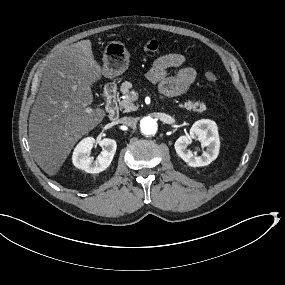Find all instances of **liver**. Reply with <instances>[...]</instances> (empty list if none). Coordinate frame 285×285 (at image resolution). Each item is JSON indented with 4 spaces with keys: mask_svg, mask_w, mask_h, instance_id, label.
I'll return each mask as SVG.
<instances>
[{
    "mask_svg": "<svg viewBox=\"0 0 285 285\" xmlns=\"http://www.w3.org/2000/svg\"><path fill=\"white\" fill-rule=\"evenodd\" d=\"M104 74L90 40L63 46L51 57L28 124L33 159L48 176L58 174L76 143L107 116L89 107L92 87Z\"/></svg>",
    "mask_w": 285,
    "mask_h": 285,
    "instance_id": "1",
    "label": "liver"
}]
</instances>
